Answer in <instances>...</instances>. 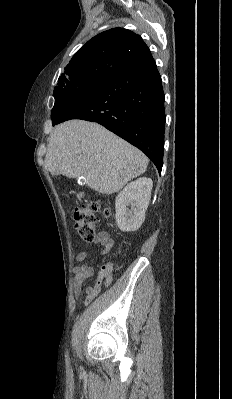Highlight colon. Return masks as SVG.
<instances>
[{"mask_svg": "<svg viewBox=\"0 0 232 399\" xmlns=\"http://www.w3.org/2000/svg\"><path fill=\"white\" fill-rule=\"evenodd\" d=\"M92 209L95 214H92ZM102 214V205L93 201L92 204H87V207L74 210V231L77 234L80 232V239H93V219H97V215ZM112 220H117V214H112ZM81 226V227H79ZM107 285H113V270L105 271V274H99L96 283L92 284L93 297H98V291L106 290Z\"/></svg>", "mask_w": 232, "mask_h": 399, "instance_id": "obj_1", "label": "colon"}]
</instances>
